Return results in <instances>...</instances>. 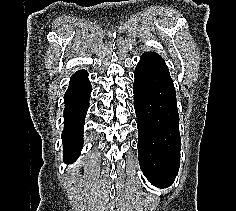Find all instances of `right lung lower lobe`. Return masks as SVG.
Instances as JSON below:
<instances>
[{
  "mask_svg": "<svg viewBox=\"0 0 236 211\" xmlns=\"http://www.w3.org/2000/svg\"><path fill=\"white\" fill-rule=\"evenodd\" d=\"M92 91L85 70L76 72L70 79L68 90L64 95V161L72 163L79 156L83 146V126L89 107V98Z\"/></svg>",
  "mask_w": 236,
  "mask_h": 211,
  "instance_id": "98d812e1",
  "label": "right lung lower lobe"
}]
</instances>
